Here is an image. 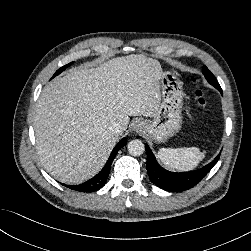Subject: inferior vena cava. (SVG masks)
<instances>
[{
  "label": "inferior vena cava",
  "instance_id": "obj_1",
  "mask_svg": "<svg viewBox=\"0 0 251 251\" xmlns=\"http://www.w3.org/2000/svg\"><path fill=\"white\" fill-rule=\"evenodd\" d=\"M110 131L115 135H119L123 132V128L120 124L113 123L112 126L110 127Z\"/></svg>",
  "mask_w": 251,
  "mask_h": 251
}]
</instances>
